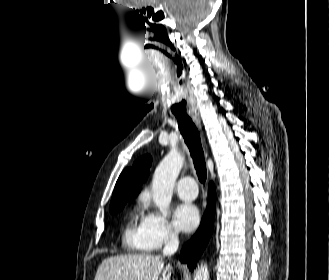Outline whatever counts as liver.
I'll list each match as a JSON object with an SVG mask.
<instances>
[{"label": "liver", "instance_id": "6515ba94", "mask_svg": "<svg viewBox=\"0 0 329 280\" xmlns=\"http://www.w3.org/2000/svg\"><path fill=\"white\" fill-rule=\"evenodd\" d=\"M172 266L159 255L128 254L104 259L94 280H170Z\"/></svg>", "mask_w": 329, "mask_h": 280}]
</instances>
